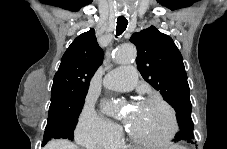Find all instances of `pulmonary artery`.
Listing matches in <instances>:
<instances>
[{
	"mask_svg": "<svg viewBox=\"0 0 227 149\" xmlns=\"http://www.w3.org/2000/svg\"><path fill=\"white\" fill-rule=\"evenodd\" d=\"M137 83V73L133 66H121L108 72L103 85L111 90L124 92L135 87Z\"/></svg>",
	"mask_w": 227,
	"mask_h": 149,
	"instance_id": "e3ab8cb5",
	"label": "pulmonary artery"
}]
</instances>
